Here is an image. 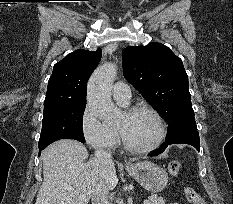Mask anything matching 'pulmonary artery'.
Wrapping results in <instances>:
<instances>
[{"instance_id":"obj_1","label":"pulmonary artery","mask_w":233,"mask_h":204,"mask_svg":"<svg viewBox=\"0 0 233 204\" xmlns=\"http://www.w3.org/2000/svg\"><path fill=\"white\" fill-rule=\"evenodd\" d=\"M113 98L122 105H127L131 99L130 87L124 82H117L113 86Z\"/></svg>"}]
</instances>
